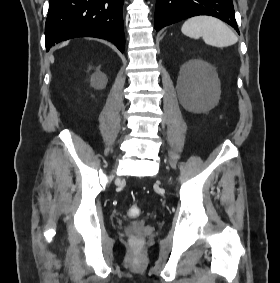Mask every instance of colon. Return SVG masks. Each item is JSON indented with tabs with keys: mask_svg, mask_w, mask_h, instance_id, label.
Wrapping results in <instances>:
<instances>
[{
	"mask_svg": "<svg viewBox=\"0 0 280 283\" xmlns=\"http://www.w3.org/2000/svg\"><path fill=\"white\" fill-rule=\"evenodd\" d=\"M127 213L130 217L136 218L140 215V208L137 205H133V206L128 208Z\"/></svg>",
	"mask_w": 280,
	"mask_h": 283,
	"instance_id": "5ec220e1",
	"label": "colon"
}]
</instances>
